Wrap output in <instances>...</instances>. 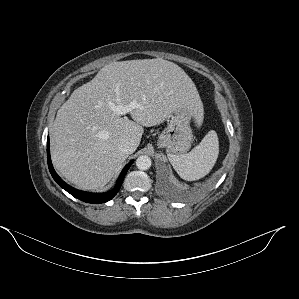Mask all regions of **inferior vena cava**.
<instances>
[{
    "mask_svg": "<svg viewBox=\"0 0 299 299\" xmlns=\"http://www.w3.org/2000/svg\"><path fill=\"white\" fill-rule=\"evenodd\" d=\"M136 148L137 145L132 139H124L120 143V150L126 154L133 153L136 150Z\"/></svg>",
    "mask_w": 299,
    "mask_h": 299,
    "instance_id": "602c4592",
    "label": "inferior vena cava"
}]
</instances>
